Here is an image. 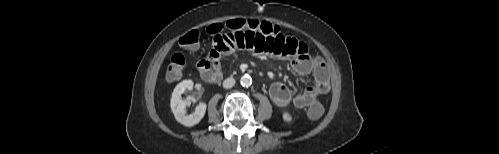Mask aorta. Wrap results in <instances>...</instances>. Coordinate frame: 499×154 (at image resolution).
<instances>
[{"label": "aorta", "instance_id": "obj_1", "mask_svg": "<svg viewBox=\"0 0 499 154\" xmlns=\"http://www.w3.org/2000/svg\"><path fill=\"white\" fill-rule=\"evenodd\" d=\"M240 83L243 87H248L252 84V78L249 75H244L241 77Z\"/></svg>", "mask_w": 499, "mask_h": 154}]
</instances>
